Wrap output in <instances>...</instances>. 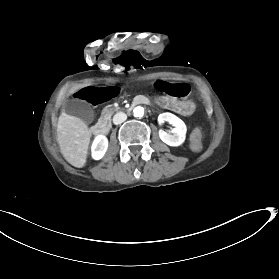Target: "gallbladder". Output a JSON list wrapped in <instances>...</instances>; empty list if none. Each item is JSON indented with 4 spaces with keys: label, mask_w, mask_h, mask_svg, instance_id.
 <instances>
[{
    "label": "gallbladder",
    "mask_w": 279,
    "mask_h": 279,
    "mask_svg": "<svg viewBox=\"0 0 279 279\" xmlns=\"http://www.w3.org/2000/svg\"><path fill=\"white\" fill-rule=\"evenodd\" d=\"M64 112L66 114H72L74 116L79 115L81 120L85 121L88 124H91L95 120V113L93 109H91L89 103L82 102H70L68 105L64 107Z\"/></svg>",
    "instance_id": "gallbladder-1"
}]
</instances>
